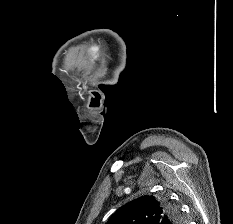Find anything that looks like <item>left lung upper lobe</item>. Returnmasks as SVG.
<instances>
[{"instance_id": "5c2ea615", "label": "left lung upper lobe", "mask_w": 233, "mask_h": 224, "mask_svg": "<svg viewBox=\"0 0 233 224\" xmlns=\"http://www.w3.org/2000/svg\"><path fill=\"white\" fill-rule=\"evenodd\" d=\"M179 210L166 198L142 196L120 207L106 224H179Z\"/></svg>"}]
</instances>
